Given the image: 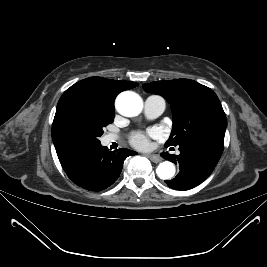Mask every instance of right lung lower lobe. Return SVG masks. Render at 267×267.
Returning a JSON list of instances; mask_svg holds the SVG:
<instances>
[{
	"instance_id": "1",
	"label": "right lung lower lobe",
	"mask_w": 267,
	"mask_h": 267,
	"mask_svg": "<svg viewBox=\"0 0 267 267\" xmlns=\"http://www.w3.org/2000/svg\"><path fill=\"white\" fill-rule=\"evenodd\" d=\"M135 154L125 148L109 151L99 143L63 152L58 158L76 185L89 191H101L118 179L124 159Z\"/></svg>"
}]
</instances>
